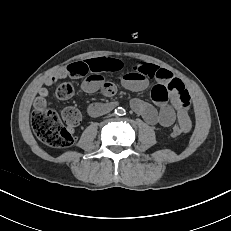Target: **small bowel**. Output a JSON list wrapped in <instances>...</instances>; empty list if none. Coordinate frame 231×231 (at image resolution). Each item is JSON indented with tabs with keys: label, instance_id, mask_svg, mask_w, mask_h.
Segmentation results:
<instances>
[{
	"label": "small bowel",
	"instance_id": "1",
	"mask_svg": "<svg viewBox=\"0 0 231 231\" xmlns=\"http://www.w3.org/2000/svg\"><path fill=\"white\" fill-rule=\"evenodd\" d=\"M75 64L80 66L82 76H85L82 83L84 92L93 93L101 90L105 96H113L116 93V85L106 81L103 75L122 71L125 68L124 62L114 58L99 57ZM67 75V69L64 68L45 79L38 88L34 106L47 105L48 87ZM151 80L155 81L151 90L153 104L136 98L131 101V108L149 124L170 127L177 120L188 132L192 127L189 116L190 94L183 82L175 78L170 71L151 63L134 61L129 70L122 74L120 82L124 88L137 92L146 89ZM108 108L106 104H91L87 112L89 115H97Z\"/></svg>",
	"mask_w": 231,
	"mask_h": 231
}]
</instances>
